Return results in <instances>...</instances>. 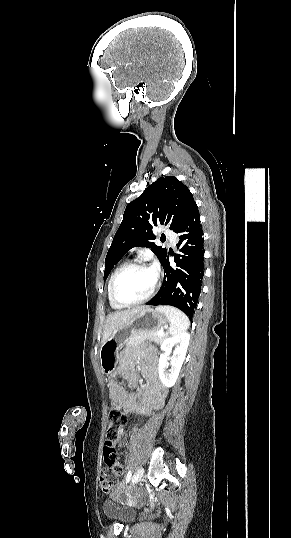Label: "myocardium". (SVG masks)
<instances>
[{"instance_id": "obj_1", "label": "myocardium", "mask_w": 291, "mask_h": 538, "mask_svg": "<svg viewBox=\"0 0 291 538\" xmlns=\"http://www.w3.org/2000/svg\"><path fill=\"white\" fill-rule=\"evenodd\" d=\"M134 269H148V270H151L153 273H154V283H153V286L151 288V290L147 293V295H145L144 297L138 299V300H134V301H120L117 297V294H116V286H117V283L119 281V279L127 272L131 271V270H134ZM159 287V274L157 272V270L155 271L153 269V267L149 266L148 264L144 263V262H133V263H129L127 264L125 267H123L113 278L112 282H111V287H110V296H111V299L112 301L120 306V307H129V306H134V305H138V304H142L146 301H148L149 299L152 298V296L155 294L156 290L158 289Z\"/></svg>"}]
</instances>
